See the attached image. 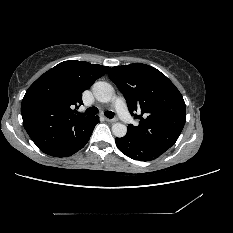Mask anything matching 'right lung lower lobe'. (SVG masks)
<instances>
[{
  "label": "right lung lower lobe",
  "instance_id": "right-lung-lower-lobe-1",
  "mask_svg": "<svg viewBox=\"0 0 233 233\" xmlns=\"http://www.w3.org/2000/svg\"><path fill=\"white\" fill-rule=\"evenodd\" d=\"M98 122H99L98 116L92 117L89 123L84 128V130L76 137L74 142L70 143L62 150L50 155L55 157H68L76 153L78 150H80L87 144L93 132V129Z\"/></svg>",
  "mask_w": 233,
  "mask_h": 233
}]
</instances>
